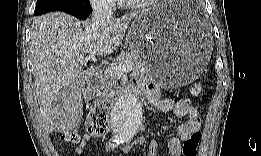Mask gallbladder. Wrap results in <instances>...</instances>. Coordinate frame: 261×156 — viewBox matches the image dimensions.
I'll list each match as a JSON object with an SVG mask.
<instances>
[{
    "label": "gallbladder",
    "mask_w": 261,
    "mask_h": 156,
    "mask_svg": "<svg viewBox=\"0 0 261 156\" xmlns=\"http://www.w3.org/2000/svg\"><path fill=\"white\" fill-rule=\"evenodd\" d=\"M75 87V86H72ZM78 89L63 90L59 94L58 103L51 107L53 113L50 114L52 127L59 130L60 132L71 130L79 124L83 117V98H80V92Z\"/></svg>",
    "instance_id": "obj_1"
}]
</instances>
